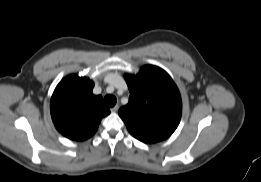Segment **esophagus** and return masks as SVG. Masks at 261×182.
I'll return each instance as SVG.
<instances>
[{
  "mask_svg": "<svg viewBox=\"0 0 261 182\" xmlns=\"http://www.w3.org/2000/svg\"><path fill=\"white\" fill-rule=\"evenodd\" d=\"M119 106L115 105L113 108H111V112L115 113L118 111Z\"/></svg>",
  "mask_w": 261,
  "mask_h": 182,
  "instance_id": "1",
  "label": "esophagus"
}]
</instances>
